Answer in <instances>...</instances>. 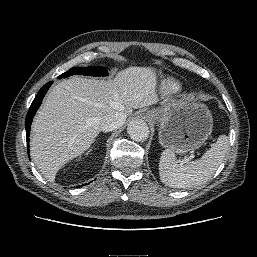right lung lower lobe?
Wrapping results in <instances>:
<instances>
[{
	"mask_svg": "<svg viewBox=\"0 0 257 257\" xmlns=\"http://www.w3.org/2000/svg\"><path fill=\"white\" fill-rule=\"evenodd\" d=\"M52 83H53L52 81L48 82L39 90L38 94L36 95L35 99L33 100L32 104L30 106V109L27 113L26 120H25V127H26V140H27V144H28V152H29V132H30V127H31L33 117H34L37 109L41 105L42 99L45 96L47 90L49 89V87L51 86Z\"/></svg>",
	"mask_w": 257,
	"mask_h": 257,
	"instance_id": "obj_1",
	"label": "right lung lower lobe"
}]
</instances>
